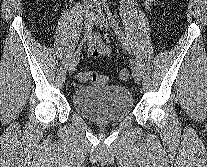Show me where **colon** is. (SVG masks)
I'll return each mask as SVG.
<instances>
[{
    "instance_id": "colon-1",
    "label": "colon",
    "mask_w": 207,
    "mask_h": 167,
    "mask_svg": "<svg viewBox=\"0 0 207 167\" xmlns=\"http://www.w3.org/2000/svg\"><path fill=\"white\" fill-rule=\"evenodd\" d=\"M130 77V73L127 69H122L119 72V78L121 80H128ZM78 79L81 82H92V83H96V84H105L108 81L107 76L99 74L97 72H80L78 74Z\"/></svg>"
}]
</instances>
